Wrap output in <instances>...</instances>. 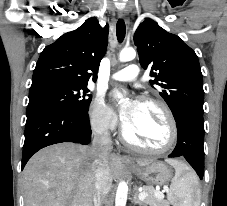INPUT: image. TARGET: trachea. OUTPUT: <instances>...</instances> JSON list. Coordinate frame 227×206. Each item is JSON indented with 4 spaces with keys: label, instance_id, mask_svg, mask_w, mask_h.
<instances>
[{
    "label": "trachea",
    "instance_id": "obj_1",
    "mask_svg": "<svg viewBox=\"0 0 227 206\" xmlns=\"http://www.w3.org/2000/svg\"><path fill=\"white\" fill-rule=\"evenodd\" d=\"M116 34L118 41L121 43L124 40L126 34V27L123 19H119L117 22Z\"/></svg>",
    "mask_w": 227,
    "mask_h": 206
}]
</instances>
